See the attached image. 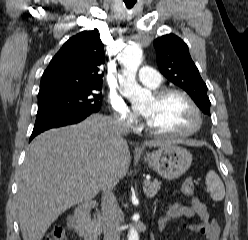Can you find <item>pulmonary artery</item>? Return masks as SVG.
<instances>
[{
    "instance_id": "1",
    "label": "pulmonary artery",
    "mask_w": 248,
    "mask_h": 240,
    "mask_svg": "<svg viewBox=\"0 0 248 240\" xmlns=\"http://www.w3.org/2000/svg\"><path fill=\"white\" fill-rule=\"evenodd\" d=\"M138 78L142 83L151 88H157L162 83L160 74L156 70L147 66L140 68Z\"/></svg>"
}]
</instances>
